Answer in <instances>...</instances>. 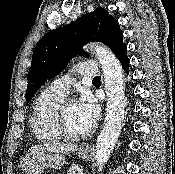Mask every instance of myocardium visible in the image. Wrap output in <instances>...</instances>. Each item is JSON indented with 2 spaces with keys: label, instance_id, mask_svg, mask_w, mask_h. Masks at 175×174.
I'll use <instances>...</instances> for the list:
<instances>
[{
  "label": "myocardium",
  "instance_id": "myocardium-1",
  "mask_svg": "<svg viewBox=\"0 0 175 174\" xmlns=\"http://www.w3.org/2000/svg\"><path fill=\"white\" fill-rule=\"evenodd\" d=\"M70 103H76V101L73 99H65V100H62L59 103V105L56 107L54 116H53L55 129L58 132V134L61 136V138L66 140H80V139L86 138L91 134L93 130L92 127H90L87 131L83 133H78V134L70 132L66 127L65 110Z\"/></svg>",
  "mask_w": 175,
  "mask_h": 174
}]
</instances>
